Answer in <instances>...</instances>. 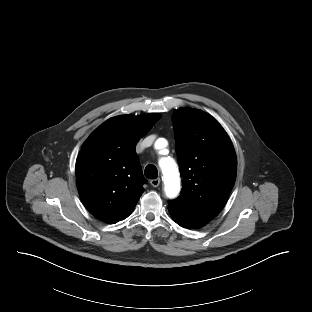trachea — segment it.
Returning a JSON list of instances; mask_svg holds the SVG:
<instances>
[{
	"instance_id": "trachea-1",
	"label": "trachea",
	"mask_w": 312,
	"mask_h": 312,
	"mask_svg": "<svg viewBox=\"0 0 312 312\" xmlns=\"http://www.w3.org/2000/svg\"><path fill=\"white\" fill-rule=\"evenodd\" d=\"M144 173L145 176L149 179H156L158 176L157 168L152 164L146 166Z\"/></svg>"
}]
</instances>
